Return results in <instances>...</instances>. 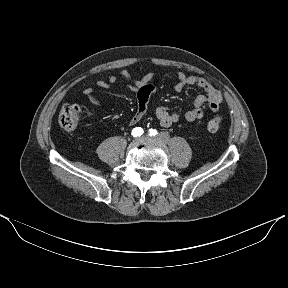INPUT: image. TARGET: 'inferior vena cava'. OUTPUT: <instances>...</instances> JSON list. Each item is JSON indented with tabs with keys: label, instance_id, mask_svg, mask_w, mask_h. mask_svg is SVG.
I'll use <instances>...</instances> for the list:
<instances>
[{
	"label": "inferior vena cava",
	"instance_id": "inferior-vena-cava-1",
	"mask_svg": "<svg viewBox=\"0 0 288 288\" xmlns=\"http://www.w3.org/2000/svg\"><path fill=\"white\" fill-rule=\"evenodd\" d=\"M157 141L161 144H166L169 141L168 135L162 131H158L155 134Z\"/></svg>",
	"mask_w": 288,
	"mask_h": 288
}]
</instances>
